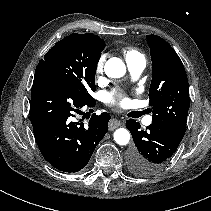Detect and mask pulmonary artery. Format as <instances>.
<instances>
[{
    "label": "pulmonary artery",
    "instance_id": "1",
    "mask_svg": "<svg viewBox=\"0 0 211 211\" xmlns=\"http://www.w3.org/2000/svg\"><path fill=\"white\" fill-rule=\"evenodd\" d=\"M126 62L128 69L134 78L138 77L146 66V61L143 56L128 60ZM151 122L152 118L149 116L145 119L144 124L148 126L151 124Z\"/></svg>",
    "mask_w": 211,
    "mask_h": 211
}]
</instances>
